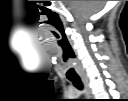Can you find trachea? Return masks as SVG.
Listing matches in <instances>:
<instances>
[{"instance_id": "trachea-1", "label": "trachea", "mask_w": 128, "mask_h": 101, "mask_svg": "<svg viewBox=\"0 0 128 101\" xmlns=\"http://www.w3.org/2000/svg\"><path fill=\"white\" fill-rule=\"evenodd\" d=\"M66 76L73 83V85L77 89H79V90H82L83 89V86H82V83L80 81V78L77 75L76 70H75L74 67L68 66Z\"/></svg>"}]
</instances>
